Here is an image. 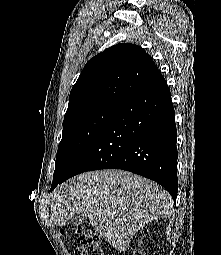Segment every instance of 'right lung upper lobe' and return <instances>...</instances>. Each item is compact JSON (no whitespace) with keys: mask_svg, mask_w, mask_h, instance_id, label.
I'll return each instance as SVG.
<instances>
[{"mask_svg":"<svg viewBox=\"0 0 221 255\" xmlns=\"http://www.w3.org/2000/svg\"><path fill=\"white\" fill-rule=\"evenodd\" d=\"M160 77L141 47L114 45L86 63L70 92L65 117L104 104L120 105Z\"/></svg>","mask_w":221,"mask_h":255,"instance_id":"1","label":"right lung upper lobe"}]
</instances>
